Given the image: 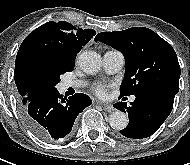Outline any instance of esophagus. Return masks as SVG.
Segmentation results:
<instances>
[{
	"label": "esophagus",
	"mask_w": 190,
	"mask_h": 165,
	"mask_svg": "<svg viewBox=\"0 0 190 165\" xmlns=\"http://www.w3.org/2000/svg\"><path fill=\"white\" fill-rule=\"evenodd\" d=\"M99 104L103 107V109L107 112H113L114 111V107L110 104H106V103H102L99 102Z\"/></svg>",
	"instance_id": "obj_1"
}]
</instances>
